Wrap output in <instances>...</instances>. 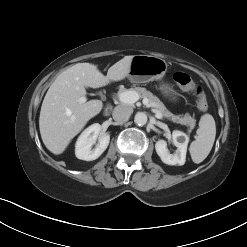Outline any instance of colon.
<instances>
[{
	"label": "colon",
	"instance_id": "obj_1",
	"mask_svg": "<svg viewBox=\"0 0 247 247\" xmlns=\"http://www.w3.org/2000/svg\"><path fill=\"white\" fill-rule=\"evenodd\" d=\"M173 80L179 89L183 91H190L195 94L197 108L201 112H205L208 109V103L204 91L201 87L194 83L188 74L183 72H176L173 75Z\"/></svg>",
	"mask_w": 247,
	"mask_h": 247
}]
</instances>
